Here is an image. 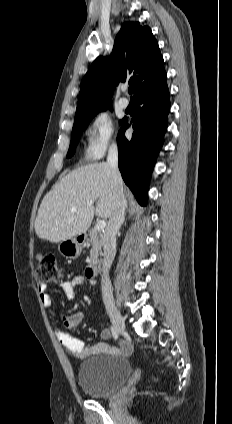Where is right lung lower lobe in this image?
Here are the masks:
<instances>
[{
    "mask_svg": "<svg viewBox=\"0 0 232 424\" xmlns=\"http://www.w3.org/2000/svg\"><path fill=\"white\" fill-rule=\"evenodd\" d=\"M166 78L165 72L154 86L135 97L132 138L124 135L127 120L122 121L117 136L122 178L141 205L147 203L149 179L167 129L170 98Z\"/></svg>",
    "mask_w": 232,
    "mask_h": 424,
    "instance_id": "right-lung-lower-lobe-1",
    "label": "right lung lower lobe"
}]
</instances>
